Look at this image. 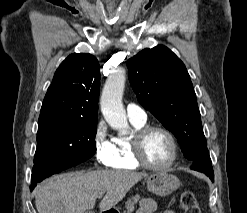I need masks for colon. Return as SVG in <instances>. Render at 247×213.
I'll return each mask as SVG.
<instances>
[{
  "label": "colon",
  "mask_w": 247,
  "mask_h": 213,
  "mask_svg": "<svg viewBox=\"0 0 247 213\" xmlns=\"http://www.w3.org/2000/svg\"><path fill=\"white\" fill-rule=\"evenodd\" d=\"M180 207L184 213H201L196 196L192 191H184L182 193Z\"/></svg>",
  "instance_id": "5ec220e1"
}]
</instances>
